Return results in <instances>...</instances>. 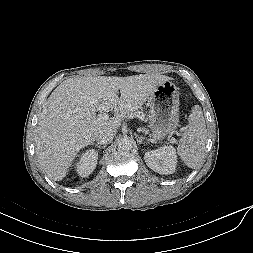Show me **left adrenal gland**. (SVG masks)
<instances>
[{
  "mask_svg": "<svg viewBox=\"0 0 253 253\" xmlns=\"http://www.w3.org/2000/svg\"><path fill=\"white\" fill-rule=\"evenodd\" d=\"M136 137H137V142H138L139 144H141V143L145 140L144 137H140L139 135H137Z\"/></svg>",
  "mask_w": 253,
  "mask_h": 253,
  "instance_id": "a2214340",
  "label": "left adrenal gland"
}]
</instances>
